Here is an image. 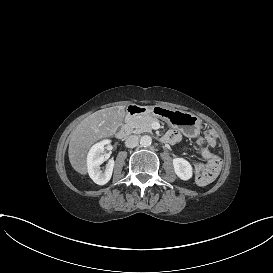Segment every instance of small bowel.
Masks as SVG:
<instances>
[{"label": "small bowel", "mask_w": 273, "mask_h": 273, "mask_svg": "<svg viewBox=\"0 0 273 273\" xmlns=\"http://www.w3.org/2000/svg\"><path fill=\"white\" fill-rule=\"evenodd\" d=\"M166 139L167 140H174L175 139V135L174 133H169L167 136H166ZM202 140H205V143L207 146L209 147H212L215 145L216 143V138L214 136V132L212 130H207L204 135H203V138ZM201 156L203 159L207 160V166H209V164L213 161V160H216L217 158L211 153L210 150L208 149H205L202 151L201 153ZM201 167H197L196 168V171H198Z\"/></svg>", "instance_id": "1"}]
</instances>
